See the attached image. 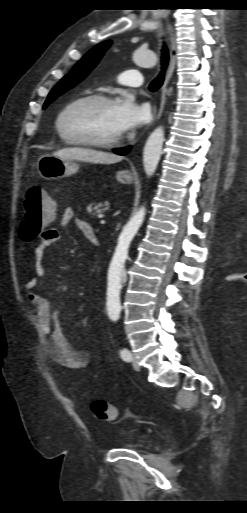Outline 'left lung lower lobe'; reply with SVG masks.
I'll return each mask as SVG.
<instances>
[{"label": "left lung lower lobe", "instance_id": "obj_1", "mask_svg": "<svg viewBox=\"0 0 247 513\" xmlns=\"http://www.w3.org/2000/svg\"><path fill=\"white\" fill-rule=\"evenodd\" d=\"M131 147H125V148H121V149H117V150H114V153L118 154V155H126L129 151H130Z\"/></svg>", "mask_w": 247, "mask_h": 513}]
</instances>
